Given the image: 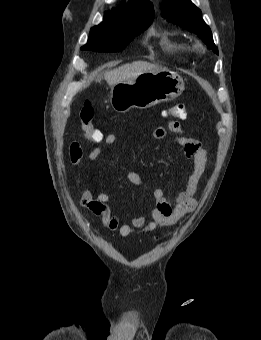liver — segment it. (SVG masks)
Instances as JSON below:
<instances>
[{"label": "liver", "mask_w": 261, "mask_h": 340, "mask_svg": "<svg viewBox=\"0 0 261 340\" xmlns=\"http://www.w3.org/2000/svg\"><path fill=\"white\" fill-rule=\"evenodd\" d=\"M163 68L145 61H135L122 65L104 74V78L110 87L115 84L132 79L147 71H161Z\"/></svg>", "instance_id": "1"}]
</instances>
